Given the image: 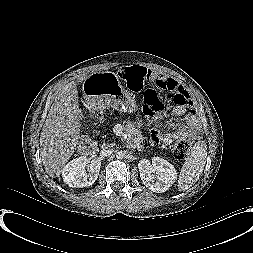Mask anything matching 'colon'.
<instances>
[{
  "label": "colon",
  "instance_id": "colon-1",
  "mask_svg": "<svg viewBox=\"0 0 253 253\" xmlns=\"http://www.w3.org/2000/svg\"><path fill=\"white\" fill-rule=\"evenodd\" d=\"M120 76L125 81L127 88L132 92L144 91V111L150 116L160 114L164 109V104L160 97V92L168 94L173 105L178 107H190L191 100L183 88H174L167 81L152 71L141 66L124 67L120 71ZM194 138L192 134H184L179 137L173 145V155L176 159H184Z\"/></svg>",
  "mask_w": 253,
  "mask_h": 253
}]
</instances>
